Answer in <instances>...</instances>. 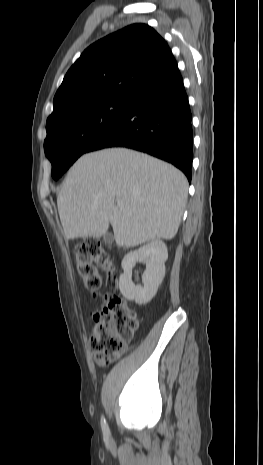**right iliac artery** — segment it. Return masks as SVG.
<instances>
[{"label":"right iliac artery","instance_id":"right-iliac-artery-1","mask_svg":"<svg viewBox=\"0 0 263 465\" xmlns=\"http://www.w3.org/2000/svg\"><path fill=\"white\" fill-rule=\"evenodd\" d=\"M101 427L104 435H109V428L104 416L101 417Z\"/></svg>","mask_w":263,"mask_h":465}]
</instances>
